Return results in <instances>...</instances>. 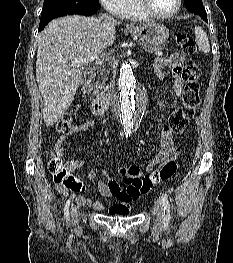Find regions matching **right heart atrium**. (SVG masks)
<instances>
[{"mask_svg":"<svg viewBox=\"0 0 233 263\" xmlns=\"http://www.w3.org/2000/svg\"><path fill=\"white\" fill-rule=\"evenodd\" d=\"M100 3L111 13L118 14L125 0H99Z\"/></svg>","mask_w":233,"mask_h":263,"instance_id":"right-heart-atrium-1","label":"right heart atrium"}]
</instances>
